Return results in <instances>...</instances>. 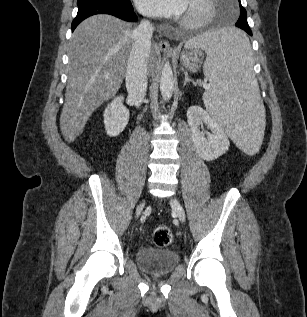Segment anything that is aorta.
Returning <instances> with one entry per match:
<instances>
[{
	"label": "aorta",
	"instance_id": "762f6f07",
	"mask_svg": "<svg viewBox=\"0 0 307 317\" xmlns=\"http://www.w3.org/2000/svg\"><path fill=\"white\" fill-rule=\"evenodd\" d=\"M174 90L173 71L170 63L165 62L160 77V92L164 101H169Z\"/></svg>",
	"mask_w": 307,
	"mask_h": 317
}]
</instances>
